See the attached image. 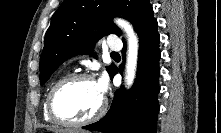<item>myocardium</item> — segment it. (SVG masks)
<instances>
[{
    "label": "myocardium",
    "mask_w": 221,
    "mask_h": 133,
    "mask_svg": "<svg viewBox=\"0 0 221 133\" xmlns=\"http://www.w3.org/2000/svg\"><path fill=\"white\" fill-rule=\"evenodd\" d=\"M80 80H88V81H93L95 82V79L92 75L87 74V73H75L68 75L62 79H60L50 90L47 100H46V107H47V112L49 117L53 120V122L63 125V126H68V127H80L84 126L87 124H90L92 122L97 121L100 119L104 113L106 112L107 109V100L105 97L102 98V101L98 107V109L89 117L82 119V120H66L60 117L54 107V99L57 95V93L67 86L70 83L80 81Z\"/></svg>",
    "instance_id": "1"
}]
</instances>
